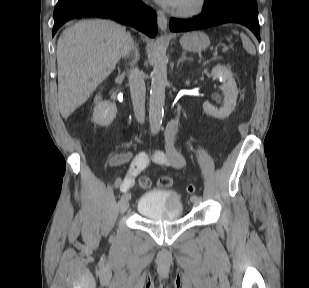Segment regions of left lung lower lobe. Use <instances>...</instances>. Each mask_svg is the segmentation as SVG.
<instances>
[{
    "label": "left lung lower lobe",
    "mask_w": 309,
    "mask_h": 288,
    "mask_svg": "<svg viewBox=\"0 0 309 288\" xmlns=\"http://www.w3.org/2000/svg\"><path fill=\"white\" fill-rule=\"evenodd\" d=\"M236 22L248 27L260 41L255 0H205L204 11L194 19H170V30L183 32Z\"/></svg>",
    "instance_id": "0a47b994"
}]
</instances>
